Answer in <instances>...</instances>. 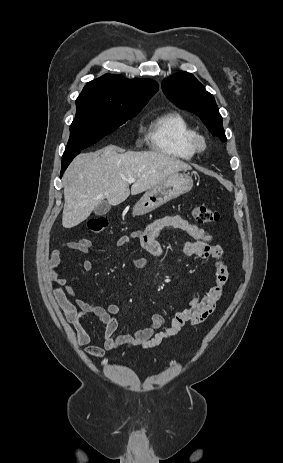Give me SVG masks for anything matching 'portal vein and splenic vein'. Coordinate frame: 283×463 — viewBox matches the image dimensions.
Here are the masks:
<instances>
[{
	"mask_svg": "<svg viewBox=\"0 0 283 463\" xmlns=\"http://www.w3.org/2000/svg\"><path fill=\"white\" fill-rule=\"evenodd\" d=\"M127 182H128V183H133V182H135V178H132V177H131V178H128Z\"/></svg>",
	"mask_w": 283,
	"mask_h": 463,
	"instance_id": "portal-vein-and-splenic-vein-1",
	"label": "portal vein and splenic vein"
}]
</instances>
